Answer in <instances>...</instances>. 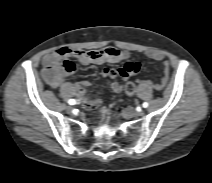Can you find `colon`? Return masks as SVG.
Returning a JSON list of instances; mask_svg holds the SVG:
<instances>
[{
    "mask_svg": "<svg viewBox=\"0 0 212 183\" xmlns=\"http://www.w3.org/2000/svg\"><path fill=\"white\" fill-rule=\"evenodd\" d=\"M76 70V66L75 64L70 61V60H66L63 65L61 66L60 71H64V72H73ZM134 89H135V85L133 82H128L125 85V92L128 96H131L134 93Z\"/></svg>",
    "mask_w": 212,
    "mask_h": 183,
    "instance_id": "colon-1",
    "label": "colon"
}]
</instances>
